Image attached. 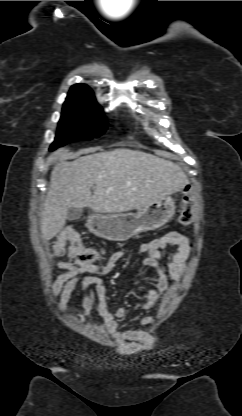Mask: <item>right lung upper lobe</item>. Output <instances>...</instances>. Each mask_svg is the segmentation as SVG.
<instances>
[{
	"label": "right lung upper lobe",
	"mask_w": 242,
	"mask_h": 416,
	"mask_svg": "<svg viewBox=\"0 0 242 416\" xmlns=\"http://www.w3.org/2000/svg\"><path fill=\"white\" fill-rule=\"evenodd\" d=\"M97 103L92 90L85 84L73 85L64 104Z\"/></svg>",
	"instance_id": "obj_1"
}]
</instances>
